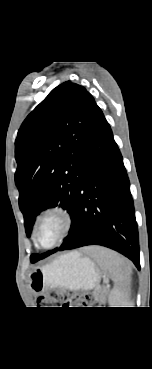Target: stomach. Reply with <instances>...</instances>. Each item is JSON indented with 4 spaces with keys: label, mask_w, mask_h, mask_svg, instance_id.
Returning <instances> with one entry per match:
<instances>
[{
    "label": "stomach",
    "mask_w": 152,
    "mask_h": 369,
    "mask_svg": "<svg viewBox=\"0 0 152 369\" xmlns=\"http://www.w3.org/2000/svg\"><path fill=\"white\" fill-rule=\"evenodd\" d=\"M100 277L92 260L78 252H70L44 267L34 269L29 275V284L36 294L54 287L89 290L98 284Z\"/></svg>",
    "instance_id": "stomach-1"
}]
</instances>
